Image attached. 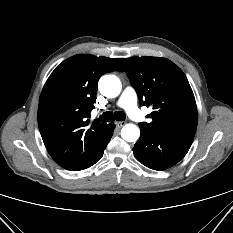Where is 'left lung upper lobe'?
I'll use <instances>...</instances> for the list:
<instances>
[{"mask_svg":"<svg viewBox=\"0 0 233 233\" xmlns=\"http://www.w3.org/2000/svg\"><path fill=\"white\" fill-rule=\"evenodd\" d=\"M140 104L152 106L150 123H139L150 130L194 138L197 107L189 82L173 62L165 58L131 57L121 59Z\"/></svg>","mask_w":233,"mask_h":233,"instance_id":"5c2ea615","label":"left lung upper lobe"}]
</instances>
